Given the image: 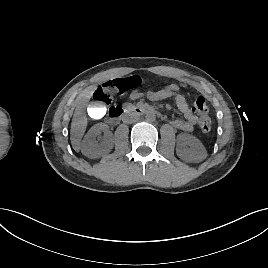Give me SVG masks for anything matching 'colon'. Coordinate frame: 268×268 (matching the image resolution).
<instances>
[{
	"instance_id": "1",
	"label": "colon",
	"mask_w": 268,
	"mask_h": 268,
	"mask_svg": "<svg viewBox=\"0 0 268 268\" xmlns=\"http://www.w3.org/2000/svg\"><path fill=\"white\" fill-rule=\"evenodd\" d=\"M141 84L138 76H130L108 81L100 86L94 93L93 99L102 104H110L115 93L124 94L137 88ZM193 111L199 115V127L204 134H208L212 128V120L209 107L204 97L199 96L193 102Z\"/></svg>"
}]
</instances>
